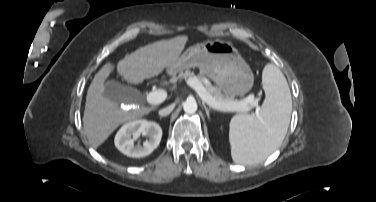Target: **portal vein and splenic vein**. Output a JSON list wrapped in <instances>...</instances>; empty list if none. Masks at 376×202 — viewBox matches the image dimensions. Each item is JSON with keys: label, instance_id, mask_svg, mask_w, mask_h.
<instances>
[{"label": "portal vein and splenic vein", "instance_id": "18ae733b", "mask_svg": "<svg viewBox=\"0 0 376 202\" xmlns=\"http://www.w3.org/2000/svg\"><path fill=\"white\" fill-rule=\"evenodd\" d=\"M209 84L208 81H205ZM188 84L197 92L198 96L206 102L210 107L219 111H230V112H248L250 108L247 107L248 104L257 105V100L253 95L248 96L242 101H229L223 102L216 100L211 94H209L205 87L196 78L188 80ZM167 97V93L164 90H155L147 94V102L150 104H160Z\"/></svg>", "mask_w": 376, "mask_h": 202}]
</instances>
